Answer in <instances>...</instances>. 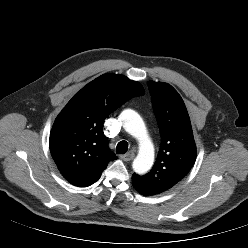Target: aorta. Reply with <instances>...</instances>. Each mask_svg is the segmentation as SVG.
Segmentation results:
<instances>
[{
	"label": "aorta",
	"instance_id": "obj_1",
	"mask_svg": "<svg viewBox=\"0 0 248 248\" xmlns=\"http://www.w3.org/2000/svg\"><path fill=\"white\" fill-rule=\"evenodd\" d=\"M123 127L127 133L139 142V153L133 161V169L138 174L148 172L154 162V146L151 142L144 121L134 110L127 109L121 114Z\"/></svg>",
	"mask_w": 248,
	"mask_h": 248
}]
</instances>
